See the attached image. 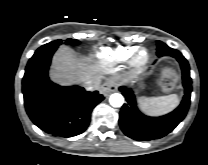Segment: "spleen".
I'll return each instance as SVG.
<instances>
[{
    "instance_id": "3e777b00",
    "label": "spleen",
    "mask_w": 208,
    "mask_h": 165,
    "mask_svg": "<svg viewBox=\"0 0 208 165\" xmlns=\"http://www.w3.org/2000/svg\"><path fill=\"white\" fill-rule=\"evenodd\" d=\"M139 104L148 114L163 115L178 106L179 98L176 94L151 98L142 97L139 99Z\"/></svg>"
}]
</instances>
